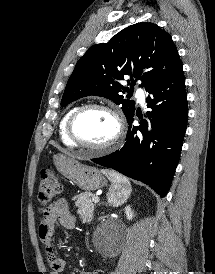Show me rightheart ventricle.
<instances>
[{"mask_svg": "<svg viewBox=\"0 0 215 274\" xmlns=\"http://www.w3.org/2000/svg\"><path fill=\"white\" fill-rule=\"evenodd\" d=\"M77 109V107L71 108L62 118V120L60 121L59 124V135H60V139L62 141V143L66 146L69 147H75L77 146L68 136L67 133V123L68 120L70 118V116L72 115V113Z\"/></svg>", "mask_w": 215, "mask_h": 274, "instance_id": "right-heart-ventricle-1", "label": "right heart ventricle"}]
</instances>
